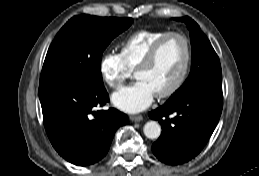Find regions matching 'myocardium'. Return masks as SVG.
Returning a JSON list of instances; mask_svg holds the SVG:
<instances>
[{
	"label": "myocardium",
	"instance_id": "f54148a6",
	"mask_svg": "<svg viewBox=\"0 0 259 176\" xmlns=\"http://www.w3.org/2000/svg\"><path fill=\"white\" fill-rule=\"evenodd\" d=\"M171 37H178L184 42L185 61H184L183 67H182L178 77L173 82V84L166 90L156 94V96L160 99L169 98L172 95H174L181 88V86L183 85V83L188 75V72H189V69L191 66V62H192V46H191V42H190L189 38L186 35L179 33V32H174V31L167 32L152 45V47L149 49V51L147 52L145 57L142 59V61L138 64V66L135 69V74H136L139 70L149 67L155 61L157 54H158L161 46L163 45V43L168 38H171Z\"/></svg>",
	"mask_w": 259,
	"mask_h": 176
}]
</instances>
